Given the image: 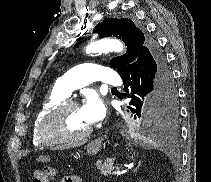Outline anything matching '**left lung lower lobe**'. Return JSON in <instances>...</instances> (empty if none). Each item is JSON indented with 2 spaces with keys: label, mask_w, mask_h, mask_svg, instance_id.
<instances>
[{
  "label": "left lung lower lobe",
  "mask_w": 211,
  "mask_h": 182,
  "mask_svg": "<svg viewBox=\"0 0 211 182\" xmlns=\"http://www.w3.org/2000/svg\"><path fill=\"white\" fill-rule=\"evenodd\" d=\"M121 78L126 91L124 97L131 98L129 104L135 107L131 111L136 116H141L140 108L147 98L155 105L161 121L168 122L176 117L177 91L166 58L156 42L149 41Z\"/></svg>",
  "instance_id": "0a47b994"
}]
</instances>
